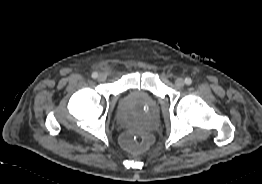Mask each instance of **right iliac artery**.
Listing matches in <instances>:
<instances>
[{
    "label": "right iliac artery",
    "instance_id": "82829eb1",
    "mask_svg": "<svg viewBox=\"0 0 262 184\" xmlns=\"http://www.w3.org/2000/svg\"><path fill=\"white\" fill-rule=\"evenodd\" d=\"M97 77H98V73H97V72H93V73H92V78L95 79V78H97Z\"/></svg>",
    "mask_w": 262,
    "mask_h": 184
}]
</instances>
